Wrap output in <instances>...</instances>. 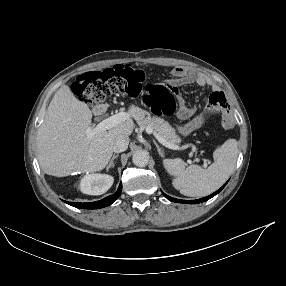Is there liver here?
Segmentation results:
<instances>
[{
	"label": "liver",
	"instance_id": "liver-1",
	"mask_svg": "<svg viewBox=\"0 0 286 286\" xmlns=\"http://www.w3.org/2000/svg\"><path fill=\"white\" fill-rule=\"evenodd\" d=\"M91 119V110L69 86L63 85L56 91L37 134L38 161L44 173L65 177L74 171H101L111 159L116 139L129 138L134 129L129 118L88 137L86 130L93 128Z\"/></svg>",
	"mask_w": 286,
	"mask_h": 286
}]
</instances>
